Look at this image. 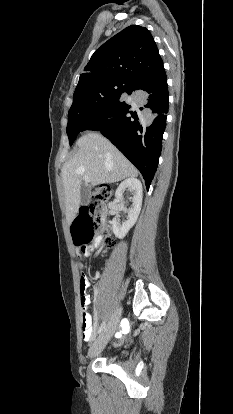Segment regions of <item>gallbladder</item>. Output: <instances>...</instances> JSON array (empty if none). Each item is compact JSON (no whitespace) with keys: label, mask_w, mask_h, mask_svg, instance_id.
<instances>
[{"label":"gallbladder","mask_w":233,"mask_h":414,"mask_svg":"<svg viewBox=\"0 0 233 414\" xmlns=\"http://www.w3.org/2000/svg\"><path fill=\"white\" fill-rule=\"evenodd\" d=\"M81 205H88L91 200V186L83 183L81 186Z\"/></svg>","instance_id":"1"}]
</instances>
